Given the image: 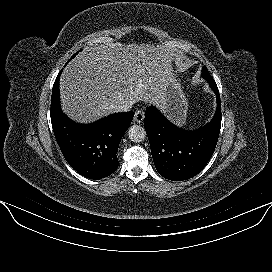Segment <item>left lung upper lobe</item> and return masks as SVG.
<instances>
[{
    "label": "left lung upper lobe",
    "instance_id": "obj_1",
    "mask_svg": "<svg viewBox=\"0 0 272 272\" xmlns=\"http://www.w3.org/2000/svg\"><path fill=\"white\" fill-rule=\"evenodd\" d=\"M201 76L205 79H209V78H212V76L209 74L207 68L204 66L203 69H202V73H201Z\"/></svg>",
    "mask_w": 272,
    "mask_h": 272
}]
</instances>
